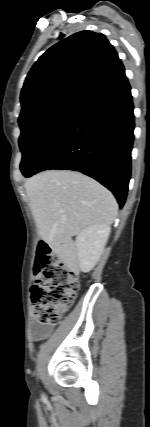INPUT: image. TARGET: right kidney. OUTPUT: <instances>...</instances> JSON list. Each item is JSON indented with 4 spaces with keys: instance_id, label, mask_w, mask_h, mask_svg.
<instances>
[{
    "instance_id": "right-kidney-1",
    "label": "right kidney",
    "mask_w": 150,
    "mask_h": 427,
    "mask_svg": "<svg viewBox=\"0 0 150 427\" xmlns=\"http://www.w3.org/2000/svg\"><path fill=\"white\" fill-rule=\"evenodd\" d=\"M108 225L95 224L83 229L76 237V249L82 272H89L99 261L110 235Z\"/></svg>"
}]
</instances>
